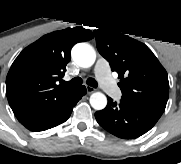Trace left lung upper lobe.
<instances>
[{
  "mask_svg": "<svg viewBox=\"0 0 181 164\" xmlns=\"http://www.w3.org/2000/svg\"><path fill=\"white\" fill-rule=\"evenodd\" d=\"M94 33L100 54L121 79V100L162 114L168 101L169 82L166 70L152 51L117 31L100 28Z\"/></svg>",
  "mask_w": 181,
  "mask_h": 164,
  "instance_id": "obj_1",
  "label": "left lung upper lobe"
}]
</instances>
